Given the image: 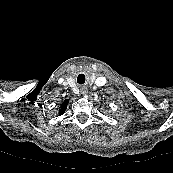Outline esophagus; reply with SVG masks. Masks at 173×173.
<instances>
[{
    "instance_id": "1",
    "label": "esophagus",
    "mask_w": 173,
    "mask_h": 173,
    "mask_svg": "<svg viewBox=\"0 0 173 173\" xmlns=\"http://www.w3.org/2000/svg\"><path fill=\"white\" fill-rule=\"evenodd\" d=\"M87 92V89L85 88V87H83L82 89H81V93L82 94H85Z\"/></svg>"
}]
</instances>
